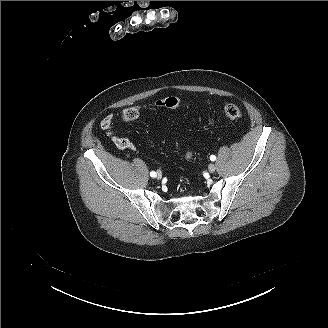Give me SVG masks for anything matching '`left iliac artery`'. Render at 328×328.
Segmentation results:
<instances>
[{
	"instance_id": "left-iliac-artery-1",
	"label": "left iliac artery",
	"mask_w": 328,
	"mask_h": 328,
	"mask_svg": "<svg viewBox=\"0 0 328 328\" xmlns=\"http://www.w3.org/2000/svg\"><path fill=\"white\" fill-rule=\"evenodd\" d=\"M210 160H211V161H215V160H216V156H215V155H211V156H210Z\"/></svg>"
}]
</instances>
